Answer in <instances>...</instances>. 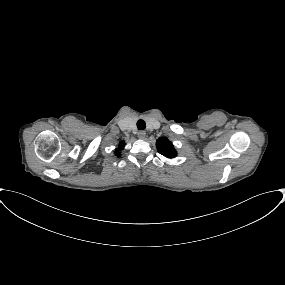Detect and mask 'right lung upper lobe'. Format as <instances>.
<instances>
[{
    "label": "right lung upper lobe",
    "instance_id": "right-lung-upper-lobe-1",
    "mask_svg": "<svg viewBox=\"0 0 285 285\" xmlns=\"http://www.w3.org/2000/svg\"><path fill=\"white\" fill-rule=\"evenodd\" d=\"M123 148V142L121 143V147L119 149H122ZM116 155L117 156H120V153L119 152H116Z\"/></svg>",
    "mask_w": 285,
    "mask_h": 285
}]
</instances>
